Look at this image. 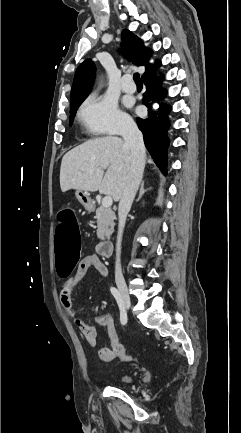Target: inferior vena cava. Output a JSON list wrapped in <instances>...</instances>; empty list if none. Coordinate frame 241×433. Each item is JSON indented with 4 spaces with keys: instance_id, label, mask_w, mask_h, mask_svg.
I'll list each match as a JSON object with an SVG mask.
<instances>
[{
    "instance_id": "inferior-vena-cava-1",
    "label": "inferior vena cava",
    "mask_w": 241,
    "mask_h": 433,
    "mask_svg": "<svg viewBox=\"0 0 241 433\" xmlns=\"http://www.w3.org/2000/svg\"><path fill=\"white\" fill-rule=\"evenodd\" d=\"M122 137L125 145L131 152V168L126 186L118 206V235L116 243V262H115V279L123 280L121 269V242L123 230L125 227L126 217L130 211L131 205L135 198L139 184L143 177L145 166V146L141 131L138 129L134 121H127L122 129Z\"/></svg>"
}]
</instances>
